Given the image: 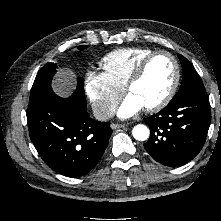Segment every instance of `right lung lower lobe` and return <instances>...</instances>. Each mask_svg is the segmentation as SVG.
<instances>
[{
	"mask_svg": "<svg viewBox=\"0 0 221 221\" xmlns=\"http://www.w3.org/2000/svg\"><path fill=\"white\" fill-rule=\"evenodd\" d=\"M27 121L31 141L43 161L69 177L87 174L103 155L112 133L109 122L90 118L83 93L60 98L48 89L30 97Z\"/></svg>",
	"mask_w": 221,
	"mask_h": 221,
	"instance_id": "1",
	"label": "right lung lower lobe"
}]
</instances>
